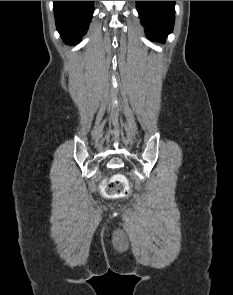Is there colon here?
<instances>
[{
    "label": "colon",
    "instance_id": "obj_1",
    "mask_svg": "<svg viewBox=\"0 0 233 295\" xmlns=\"http://www.w3.org/2000/svg\"><path fill=\"white\" fill-rule=\"evenodd\" d=\"M103 192L109 197H125L129 192L128 181L124 176L116 175L108 183L103 184Z\"/></svg>",
    "mask_w": 233,
    "mask_h": 295
}]
</instances>
